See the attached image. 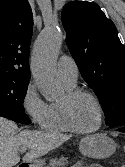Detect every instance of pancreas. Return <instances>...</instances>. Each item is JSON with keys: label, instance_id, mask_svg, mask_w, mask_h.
I'll return each mask as SVG.
<instances>
[{"label": "pancreas", "instance_id": "obj_1", "mask_svg": "<svg viewBox=\"0 0 125 167\" xmlns=\"http://www.w3.org/2000/svg\"><path fill=\"white\" fill-rule=\"evenodd\" d=\"M68 164L67 158L61 157V158H54L50 160L49 164L45 167H64Z\"/></svg>", "mask_w": 125, "mask_h": 167}]
</instances>
